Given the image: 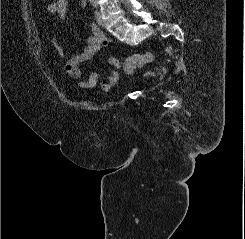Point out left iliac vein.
<instances>
[{
	"label": "left iliac vein",
	"instance_id": "obj_1",
	"mask_svg": "<svg viewBox=\"0 0 245 239\" xmlns=\"http://www.w3.org/2000/svg\"><path fill=\"white\" fill-rule=\"evenodd\" d=\"M95 18H96L97 23L100 26H104V21L102 19V15H101V12L99 10H96V12H95Z\"/></svg>",
	"mask_w": 245,
	"mask_h": 239
}]
</instances>
